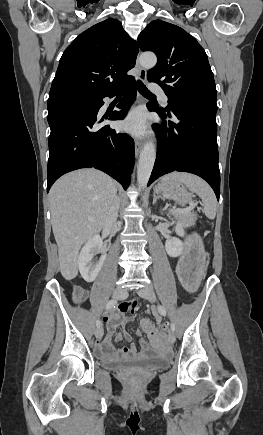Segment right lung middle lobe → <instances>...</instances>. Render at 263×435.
Returning <instances> with one entry per match:
<instances>
[{
    "label": "right lung middle lobe",
    "mask_w": 263,
    "mask_h": 435,
    "mask_svg": "<svg viewBox=\"0 0 263 435\" xmlns=\"http://www.w3.org/2000/svg\"><path fill=\"white\" fill-rule=\"evenodd\" d=\"M89 101H91V100L80 101V102H73V103H67V104H60V105H53V106H48V111H51V110H53V109H55V108L62 107V106L84 104V103H87V102H89Z\"/></svg>",
    "instance_id": "1"
}]
</instances>
